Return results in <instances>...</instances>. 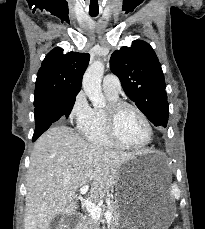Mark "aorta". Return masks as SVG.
I'll use <instances>...</instances> for the list:
<instances>
[{
	"label": "aorta",
	"instance_id": "762f6f07",
	"mask_svg": "<svg viewBox=\"0 0 205 229\" xmlns=\"http://www.w3.org/2000/svg\"><path fill=\"white\" fill-rule=\"evenodd\" d=\"M104 74V64L100 60L94 61L86 70L82 80V88L94 107H104L105 97L101 89Z\"/></svg>",
	"mask_w": 205,
	"mask_h": 229
}]
</instances>
